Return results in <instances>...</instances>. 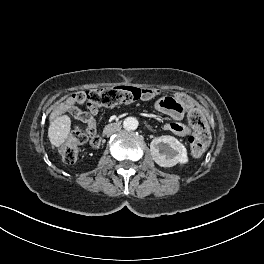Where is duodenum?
I'll list each match as a JSON object with an SVG mask.
<instances>
[{
    "mask_svg": "<svg viewBox=\"0 0 264 264\" xmlns=\"http://www.w3.org/2000/svg\"><path fill=\"white\" fill-rule=\"evenodd\" d=\"M117 126H118V123H117V122H112V123L108 124V125L105 127L103 133H104V134H108L109 131H112V130L115 129Z\"/></svg>",
    "mask_w": 264,
    "mask_h": 264,
    "instance_id": "1",
    "label": "duodenum"
}]
</instances>
